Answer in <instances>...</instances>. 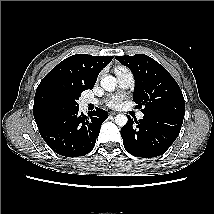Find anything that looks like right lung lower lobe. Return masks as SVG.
Listing matches in <instances>:
<instances>
[{"instance_id": "1", "label": "right lung lower lobe", "mask_w": 214, "mask_h": 214, "mask_svg": "<svg viewBox=\"0 0 214 214\" xmlns=\"http://www.w3.org/2000/svg\"><path fill=\"white\" fill-rule=\"evenodd\" d=\"M78 111V107L56 111L37 125L44 141L59 155L78 157L91 152L100 127L108 118L107 112L99 108L88 116Z\"/></svg>"}]
</instances>
